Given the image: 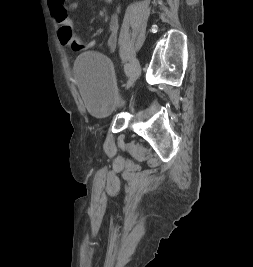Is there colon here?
<instances>
[{
	"instance_id": "5ec220e1",
	"label": "colon",
	"mask_w": 253,
	"mask_h": 267,
	"mask_svg": "<svg viewBox=\"0 0 253 267\" xmlns=\"http://www.w3.org/2000/svg\"><path fill=\"white\" fill-rule=\"evenodd\" d=\"M59 42L71 48L73 51H83L93 46V43H85L75 36L71 26L62 25L57 32Z\"/></svg>"
}]
</instances>
